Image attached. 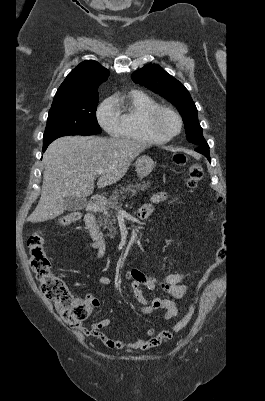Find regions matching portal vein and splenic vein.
Wrapping results in <instances>:
<instances>
[{
    "label": "portal vein and splenic vein",
    "mask_w": 265,
    "mask_h": 401,
    "mask_svg": "<svg viewBox=\"0 0 265 401\" xmlns=\"http://www.w3.org/2000/svg\"><path fill=\"white\" fill-rule=\"evenodd\" d=\"M104 172V168H99V170H97V174H103Z\"/></svg>",
    "instance_id": "portal-vein-and-splenic-vein-1"
}]
</instances>
